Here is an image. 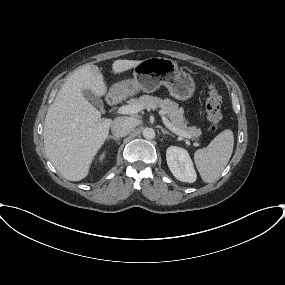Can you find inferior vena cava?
<instances>
[{"label": "inferior vena cava", "instance_id": "obj_1", "mask_svg": "<svg viewBox=\"0 0 285 285\" xmlns=\"http://www.w3.org/2000/svg\"><path fill=\"white\" fill-rule=\"evenodd\" d=\"M135 123L129 117H117L111 124V131L117 138L128 135L134 128Z\"/></svg>", "mask_w": 285, "mask_h": 285}]
</instances>
